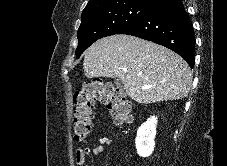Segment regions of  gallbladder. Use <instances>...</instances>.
<instances>
[{
	"label": "gallbladder",
	"mask_w": 227,
	"mask_h": 166,
	"mask_svg": "<svg viewBox=\"0 0 227 166\" xmlns=\"http://www.w3.org/2000/svg\"><path fill=\"white\" fill-rule=\"evenodd\" d=\"M116 85L119 87V88H123L124 86H123V83H122V81L120 80V79H117L116 80Z\"/></svg>",
	"instance_id": "gallbladder-1"
}]
</instances>
